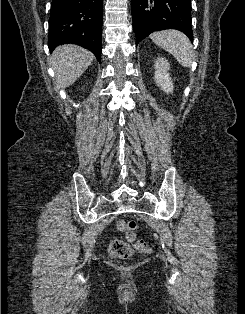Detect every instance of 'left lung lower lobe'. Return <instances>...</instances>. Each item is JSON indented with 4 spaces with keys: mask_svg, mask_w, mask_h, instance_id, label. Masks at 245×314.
<instances>
[{
    "mask_svg": "<svg viewBox=\"0 0 245 314\" xmlns=\"http://www.w3.org/2000/svg\"><path fill=\"white\" fill-rule=\"evenodd\" d=\"M136 45L150 33L177 29L193 40L191 0H131Z\"/></svg>",
    "mask_w": 245,
    "mask_h": 314,
    "instance_id": "1",
    "label": "left lung lower lobe"
}]
</instances>
